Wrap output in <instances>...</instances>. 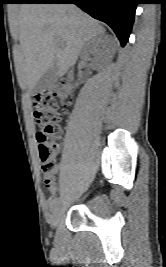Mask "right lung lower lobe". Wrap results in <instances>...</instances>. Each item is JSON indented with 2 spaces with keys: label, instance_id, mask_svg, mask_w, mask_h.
<instances>
[{
  "label": "right lung lower lobe",
  "instance_id": "98d812e1",
  "mask_svg": "<svg viewBox=\"0 0 166 267\" xmlns=\"http://www.w3.org/2000/svg\"><path fill=\"white\" fill-rule=\"evenodd\" d=\"M21 3H74L92 17L107 23L125 46L131 33L138 0H22Z\"/></svg>",
  "mask_w": 166,
  "mask_h": 267
}]
</instances>
